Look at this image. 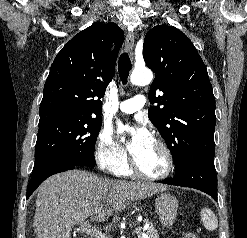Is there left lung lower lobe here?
Returning a JSON list of instances; mask_svg holds the SVG:
<instances>
[{
    "label": "left lung lower lobe",
    "mask_w": 247,
    "mask_h": 238,
    "mask_svg": "<svg viewBox=\"0 0 247 238\" xmlns=\"http://www.w3.org/2000/svg\"><path fill=\"white\" fill-rule=\"evenodd\" d=\"M162 183L195 188L217 200V175L214 160L209 158L189 157L173 178Z\"/></svg>",
    "instance_id": "1"
}]
</instances>
